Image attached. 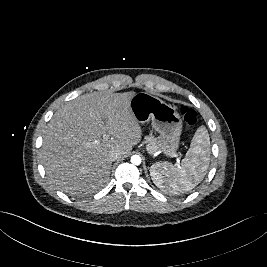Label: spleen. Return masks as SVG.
Returning <instances> with one entry per match:
<instances>
[{
    "mask_svg": "<svg viewBox=\"0 0 267 267\" xmlns=\"http://www.w3.org/2000/svg\"><path fill=\"white\" fill-rule=\"evenodd\" d=\"M210 137L204 126L195 132L181 166L157 163L151 166L154 184L164 192L179 195L192 190L204 178L210 161Z\"/></svg>",
    "mask_w": 267,
    "mask_h": 267,
    "instance_id": "3e777b00",
    "label": "spleen"
}]
</instances>
